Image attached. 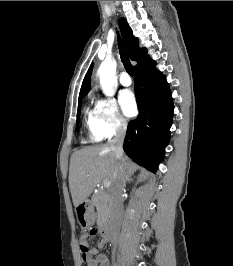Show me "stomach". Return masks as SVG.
Wrapping results in <instances>:
<instances>
[{
	"instance_id": "stomach-1",
	"label": "stomach",
	"mask_w": 233,
	"mask_h": 266,
	"mask_svg": "<svg viewBox=\"0 0 233 266\" xmlns=\"http://www.w3.org/2000/svg\"><path fill=\"white\" fill-rule=\"evenodd\" d=\"M77 208L74 209V214H76L79 228H92L95 221L94 204H78Z\"/></svg>"
}]
</instances>
